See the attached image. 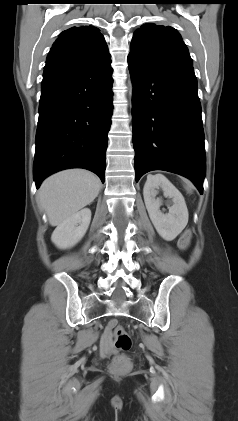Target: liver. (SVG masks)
<instances>
[{"instance_id":"1","label":"liver","mask_w":238,"mask_h":421,"mask_svg":"<svg viewBox=\"0 0 238 421\" xmlns=\"http://www.w3.org/2000/svg\"><path fill=\"white\" fill-rule=\"evenodd\" d=\"M100 179L82 169L58 172L45 179L38 191L40 207L49 223L58 226L97 197Z\"/></svg>"}]
</instances>
